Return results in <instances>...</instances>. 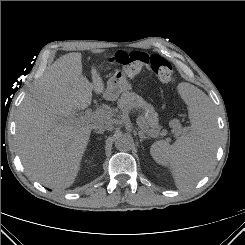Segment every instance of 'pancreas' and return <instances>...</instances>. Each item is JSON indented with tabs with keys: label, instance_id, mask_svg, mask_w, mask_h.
Returning <instances> with one entry per match:
<instances>
[{
	"label": "pancreas",
	"instance_id": "obj_1",
	"mask_svg": "<svg viewBox=\"0 0 245 245\" xmlns=\"http://www.w3.org/2000/svg\"><path fill=\"white\" fill-rule=\"evenodd\" d=\"M118 108L122 110H131L133 108L138 109L145 120V124L149 129L150 135L156 137L159 134L161 128L158 124L157 112L154 110L152 105L144 101V99L139 95L132 92L125 93L118 102ZM171 126L175 129L176 134H178L180 129L177 122L173 121Z\"/></svg>",
	"mask_w": 245,
	"mask_h": 245
}]
</instances>
